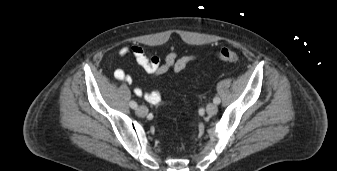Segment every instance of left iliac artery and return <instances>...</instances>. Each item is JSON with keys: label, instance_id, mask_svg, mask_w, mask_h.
I'll use <instances>...</instances> for the list:
<instances>
[{"label": "left iliac artery", "instance_id": "obj_1", "mask_svg": "<svg viewBox=\"0 0 337 171\" xmlns=\"http://www.w3.org/2000/svg\"><path fill=\"white\" fill-rule=\"evenodd\" d=\"M213 102H214L215 104H219V103L221 102V100H220L219 97H215V98L213 99Z\"/></svg>", "mask_w": 337, "mask_h": 171}]
</instances>
